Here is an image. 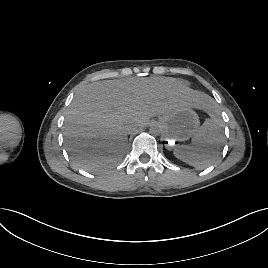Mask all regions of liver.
<instances>
[{
  "instance_id": "obj_1",
  "label": "liver",
  "mask_w": 268,
  "mask_h": 268,
  "mask_svg": "<svg viewBox=\"0 0 268 268\" xmlns=\"http://www.w3.org/2000/svg\"><path fill=\"white\" fill-rule=\"evenodd\" d=\"M208 98L169 78L104 80L83 87L66 114L63 135L73 162L90 172L116 166L131 127L183 106L205 109Z\"/></svg>"
}]
</instances>
